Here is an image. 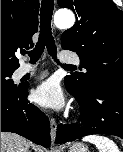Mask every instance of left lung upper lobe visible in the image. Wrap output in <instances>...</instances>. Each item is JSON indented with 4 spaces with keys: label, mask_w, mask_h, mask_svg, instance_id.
<instances>
[{
    "label": "left lung upper lobe",
    "mask_w": 123,
    "mask_h": 152,
    "mask_svg": "<svg viewBox=\"0 0 123 152\" xmlns=\"http://www.w3.org/2000/svg\"><path fill=\"white\" fill-rule=\"evenodd\" d=\"M71 9L75 25L62 34V48L80 56L84 73L65 77L83 94L105 82H123V12L112 0H58Z\"/></svg>",
    "instance_id": "left-lung-upper-lobe-1"
}]
</instances>
